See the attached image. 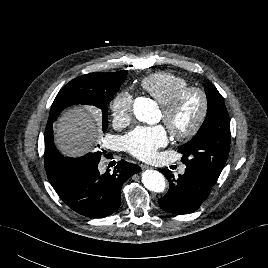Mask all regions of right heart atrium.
<instances>
[{"mask_svg": "<svg viewBox=\"0 0 268 268\" xmlns=\"http://www.w3.org/2000/svg\"><path fill=\"white\" fill-rule=\"evenodd\" d=\"M133 96L128 89L116 94L111 103V115L115 122L127 124L132 120Z\"/></svg>", "mask_w": 268, "mask_h": 268, "instance_id": "d8ad5b80", "label": "right heart atrium"}]
</instances>
